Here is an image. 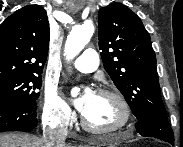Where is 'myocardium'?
Listing matches in <instances>:
<instances>
[{
  "instance_id": "obj_1",
  "label": "myocardium",
  "mask_w": 183,
  "mask_h": 147,
  "mask_svg": "<svg viewBox=\"0 0 183 147\" xmlns=\"http://www.w3.org/2000/svg\"><path fill=\"white\" fill-rule=\"evenodd\" d=\"M96 94L103 96H110L117 101L123 112V119L117 126L108 128H97L92 126L85 118L81 115V124L85 130L93 134H111L123 131L132 125V110L127 99L118 91L108 88L99 89Z\"/></svg>"
}]
</instances>
